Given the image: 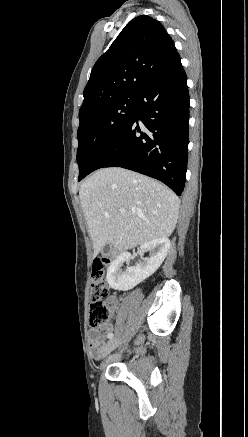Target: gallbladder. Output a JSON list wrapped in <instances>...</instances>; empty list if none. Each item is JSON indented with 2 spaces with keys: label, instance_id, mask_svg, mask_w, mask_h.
<instances>
[{
  "label": "gallbladder",
  "instance_id": "1",
  "mask_svg": "<svg viewBox=\"0 0 248 437\" xmlns=\"http://www.w3.org/2000/svg\"><path fill=\"white\" fill-rule=\"evenodd\" d=\"M112 248L110 245H106L103 249H102V254L104 256L109 255V253L111 252Z\"/></svg>",
  "mask_w": 248,
  "mask_h": 437
}]
</instances>
